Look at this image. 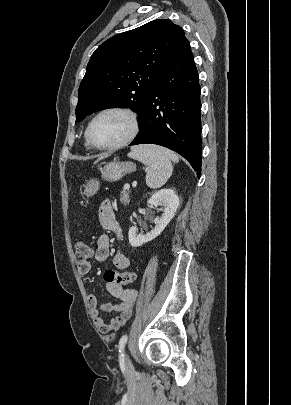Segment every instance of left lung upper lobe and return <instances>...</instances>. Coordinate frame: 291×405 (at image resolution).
<instances>
[{
  "instance_id": "1",
  "label": "left lung upper lobe",
  "mask_w": 291,
  "mask_h": 405,
  "mask_svg": "<svg viewBox=\"0 0 291 405\" xmlns=\"http://www.w3.org/2000/svg\"><path fill=\"white\" fill-rule=\"evenodd\" d=\"M186 40L180 26L159 19L105 41L81 81L76 122L100 109L129 107L140 124L150 89Z\"/></svg>"
}]
</instances>
